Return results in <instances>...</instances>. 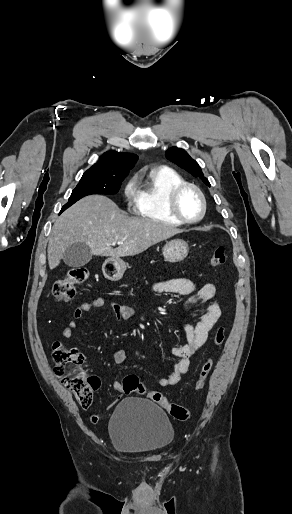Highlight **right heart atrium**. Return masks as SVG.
<instances>
[{"label": "right heart atrium", "mask_w": 292, "mask_h": 514, "mask_svg": "<svg viewBox=\"0 0 292 514\" xmlns=\"http://www.w3.org/2000/svg\"><path fill=\"white\" fill-rule=\"evenodd\" d=\"M138 188L134 178L128 179L122 188V194L127 205H132L137 197Z\"/></svg>", "instance_id": "1"}]
</instances>
